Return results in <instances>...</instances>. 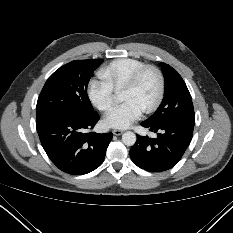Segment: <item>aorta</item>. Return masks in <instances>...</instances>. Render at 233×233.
I'll return each instance as SVG.
<instances>
[{"label":"aorta","instance_id":"762f6f07","mask_svg":"<svg viewBox=\"0 0 233 233\" xmlns=\"http://www.w3.org/2000/svg\"><path fill=\"white\" fill-rule=\"evenodd\" d=\"M122 142L127 146H132L136 142V135L131 131H127L122 135Z\"/></svg>","mask_w":233,"mask_h":233}]
</instances>
